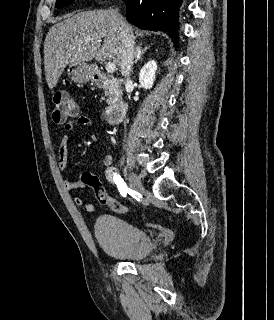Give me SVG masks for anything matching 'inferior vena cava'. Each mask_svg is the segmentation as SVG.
Segmentation results:
<instances>
[{
	"instance_id": "obj_1",
	"label": "inferior vena cava",
	"mask_w": 274,
	"mask_h": 320,
	"mask_svg": "<svg viewBox=\"0 0 274 320\" xmlns=\"http://www.w3.org/2000/svg\"><path fill=\"white\" fill-rule=\"evenodd\" d=\"M114 16H120L118 8L114 10ZM118 30L120 32V38L122 42V58H121V74L124 78H129L134 64L135 54V42L133 38V30L130 28L127 22H124L122 18L118 20Z\"/></svg>"
}]
</instances>
